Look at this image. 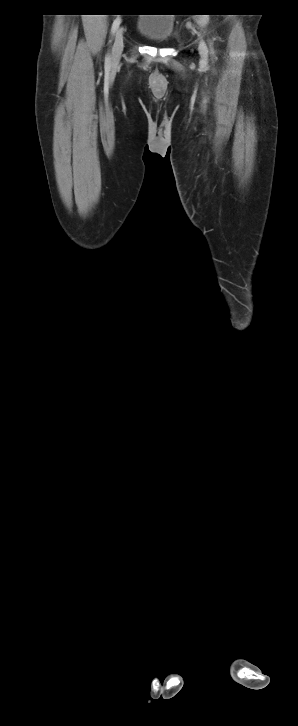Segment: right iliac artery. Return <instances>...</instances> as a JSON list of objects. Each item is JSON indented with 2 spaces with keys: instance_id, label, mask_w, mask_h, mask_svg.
Returning a JSON list of instances; mask_svg holds the SVG:
<instances>
[{
  "instance_id": "82829eb1",
  "label": "right iliac artery",
  "mask_w": 298,
  "mask_h": 726,
  "mask_svg": "<svg viewBox=\"0 0 298 726\" xmlns=\"http://www.w3.org/2000/svg\"><path fill=\"white\" fill-rule=\"evenodd\" d=\"M120 23H121V18L118 17L114 20V22L112 24V28H111L112 35L116 32ZM110 60H111V58H110V55L108 54L105 59V62L107 65L110 63Z\"/></svg>"
}]
</instances>
